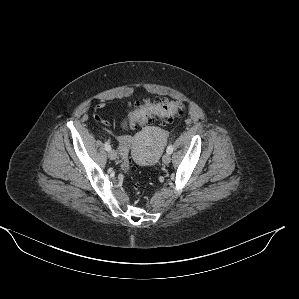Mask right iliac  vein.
<instances>
[{
	"mask_svg": "<svg viewBox=\"0 0 299 299\" xmlns=\"http://www.w3.org/2000/svg\"><path fill=\"white\" fill-rule=\"evenodd\" d=\"M108 157H109L110 160H116V158H117V153H116V151H115V150H110V151L108 152Z\"/></svg>",
	"mask_w": 299,
	"mask_h": 299,
	"instance_id": "1",
	"label": "right iliac vein"
}]
</instances>
